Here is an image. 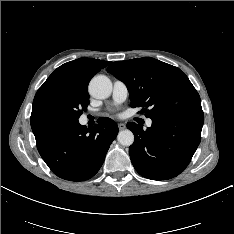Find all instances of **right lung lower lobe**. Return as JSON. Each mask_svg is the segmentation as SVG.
I'll use <instances>...</instances> for the list:
<instances>
[{"label":"right lung lower lobe","mask_w":234,"mask_h":234,"mask_svg":"<svg viewBox=\"0 0 234 234\" xmlns=\"http://www.w3.org/2000/svg\"><path fill=\"white\" fill-rule=\"evenodd\" d=\"M92 129L78 120L39 117L31 120L37 149L51 171L70 181L93 177L102 166L106 153L118 134L117 124L105 117Z\"/></svg>","instance_id":"right-lung-lower-lobe-1"}]
</instances>
